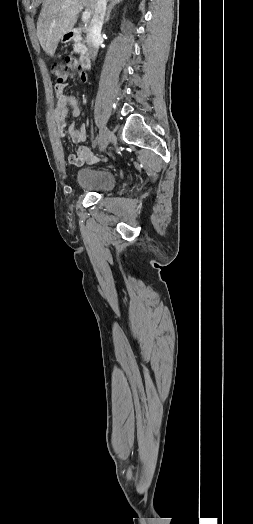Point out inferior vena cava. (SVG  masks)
<instances>
[{
    "instance_id": "1",
    "label": "inferior vena cava",
    "mask_w": 253,
    "mask_h": 524,
    "mask_svg": "<svg viewBox=\"0 0 253 524\" xmlns=\"http://www.w3.org/2000/svg\"><path fill=\"white\" fill-rule=\"evenodd\" d=\"M107 7V0H97V5L91 24L88 28L87 40L92 50V58L95 59L98 49L99 40L101 38V29L104 22L105 12Z\"/></svg>"
}]
</instances>
